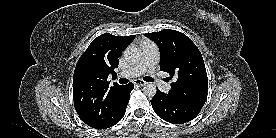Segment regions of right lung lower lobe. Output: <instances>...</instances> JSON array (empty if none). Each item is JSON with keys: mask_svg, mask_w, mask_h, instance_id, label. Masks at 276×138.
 <instances>
[{"mask_svg": "<svg viewBox=\"0 0 276 138\" xmlns=\"http://www.w3.org/2000/svg\"><path fill=\"white\" fill-rule=\"evenodd\" d=\"M133 86H134L133 83L124 85L123 91H122V100H121V105L119 107V110H118L117 114L115 115V118L113 119V121L103 129L109 128V127L117 124L123 118V116L125 115V112H126L127 104L129 102L130 92L133 90Z\"/></svg>", "mask_w": 276, "mask_h": 138, "instance_id": "obj_1", "label": "right lung lower lobe"}]
</instances>
